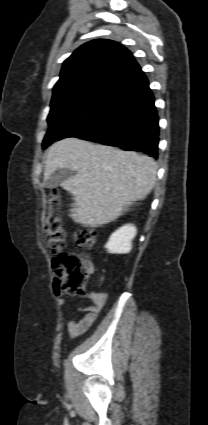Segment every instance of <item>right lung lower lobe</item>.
Returning a JSON list of instances; mask_svg holds the SVG:
<instances>
[{
    "mask_svg": "<svg viewBox=\"0 0 208 425\" xmlns=\"http://www.w3.org/2000/svg\"><path fill=\"white\" fill-rule=\"evenodd\" d=\"M159 126L148 79L136 63L89 104L57 119L52 143L78 137L158 157Z\"/></svg>",
    "mask_w": 208,
    "mask_h": 425,
    "instance_id": "98d812e1",
    "label": "right lung lower lobe"
}]
</instances>
